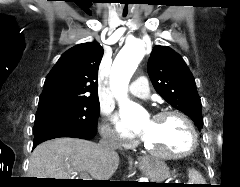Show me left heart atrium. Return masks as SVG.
<instances>
[{
    "label": "left heart atrium",
    "instance_id": "39dd6f15",
    "mask_svg": "<svg viewBox=\"0 0 240 187\" xmlns=\"http://www.w3.org/2000/svg\"><path fill=\"white\" fill-rule=\"evenodd\" d=\"M119 128H120V130H121L122 132L126 133V129H125V127H124L123 124L120 123V124H119ZM142 136L145 138V133H144V132H143Z\"/></svg>",
    "mask_w": 240,
    "mask_h": 187
}]
</instances>
